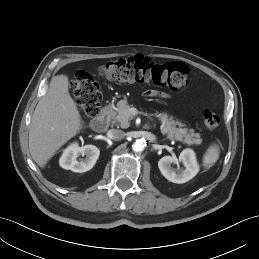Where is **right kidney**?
<instances>
[{"mask_svg": "<svg viewBox=\"0 0 259 259\" xmlns=\"http://www.w3.org/2000/svg\"><path fill=\"white\" fill-rule=\"evenodd\" d=\"M99 154L100 151L96 146L85 145L79 147L75 142L64 150L59 160V164L64 169L83 173L93 168ZM79 156L86 157L84 159H78Z\"/></svg>", "mask_w": 259, "mask_h": 259, "instance_id": "1", "label": "right kidney"}]
</instances>
